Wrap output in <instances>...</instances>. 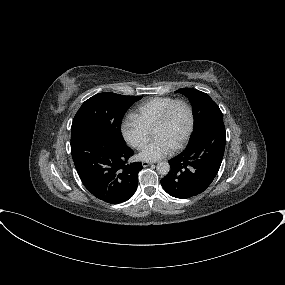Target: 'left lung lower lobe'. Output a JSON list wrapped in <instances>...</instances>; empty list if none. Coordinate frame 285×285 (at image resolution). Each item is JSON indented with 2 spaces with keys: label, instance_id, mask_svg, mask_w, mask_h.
<instances>
[{
  "label": "left lung lower lobe",
  "instance_id": "1",
  "mask_svg": "<svg viewBox=\"0 0 285 285\" xmlns=\"http://www.w3.org/2000/svg\"><path fill=\"white\" fill-rule=\"evenodd\" d=\"M225 144L223 120L210 122L189 142L181 154L169 160L171 170L161 180L164 190L181 199L205 191L218 173Z\"/></svg>",
  "mask_w": 285,
  "mask_h": 285
}]
</instances>
